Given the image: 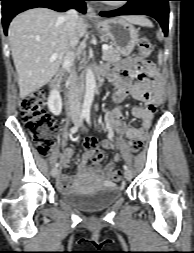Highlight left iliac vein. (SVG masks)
<instances>
[{"instance_id": "left-iliac-vein-1", "label": "left iliac vein", "mask_w": 194, "mask_h": 253, "mask_svg": "<svg viewBox=\"0 0 194 253\" xmlns=\"http://www.w3.org/2000/svg\"><path fill=\"white\" fill-rule=\"evenodd\" d=\"M83 129L85 130V128L83 127ZM124 176L127 180H131L132 178V172L130 170H125L124 172Z\"/></svg>"}]
</instances>
